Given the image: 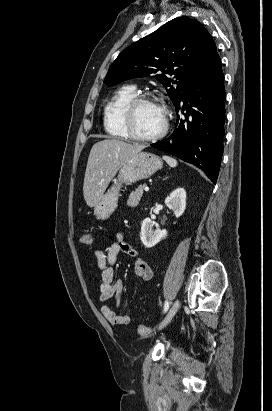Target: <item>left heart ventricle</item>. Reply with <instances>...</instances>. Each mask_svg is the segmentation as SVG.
<instances>
[{"label":"left heart ventricle","mask_w":272,"mask_h":411,"mask_svg":"<svg viewBox=\"0 0 272 411\" xmlns=\"http://www.w3.org/2000/svg\"><path fill=\"white\" fill-rule=\"evenodd\" d=\"M163 126V113L155 103H143L138 106L134 116L135 131L144 136L153 135Z\"/></svg>","instance_id":"obj_1"}]
</instances>
